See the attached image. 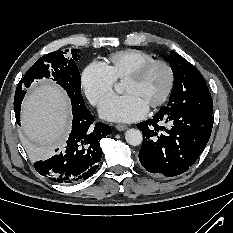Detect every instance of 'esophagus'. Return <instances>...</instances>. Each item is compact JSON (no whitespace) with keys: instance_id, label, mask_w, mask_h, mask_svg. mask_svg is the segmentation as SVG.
Listing matches in <instances>:
<instances>
[{"instance_id":"34e87169","label":"esophagus","mask_w":233,"mask_h":233,"mask_svg":"<svg viewBox=\"0 0 233 233\" xmlns=\"http://www.w3.org/2000/svg\"><path fill=\"white\" fill-rule=\"evenodd\" d=\"M115 128H116L118 131H124V130H126V129L128 128V126H127V125H123V124H117V125L115 126Z\"/></svg>"}]
</instances>
